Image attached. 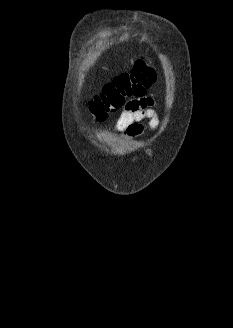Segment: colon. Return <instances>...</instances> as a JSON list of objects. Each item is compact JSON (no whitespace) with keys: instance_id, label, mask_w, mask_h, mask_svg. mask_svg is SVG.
<instances>
[{"instance_id":"1","label":"colon","mask_w":233,"mask_h":328,"mask_svg":"<svg viewBox=\"0 0 233 328\" xmlns=\"http://www.w3.org/2000/svg\"><path fill=\"white\" fill-rule=\"evenodd\" d=\"M156 78L153 65L144 57L138 59L131 71L116 76L90 103L97 120H104L110 111L117 110L129 97H142Z\"/></svg>"}]
</instances>
